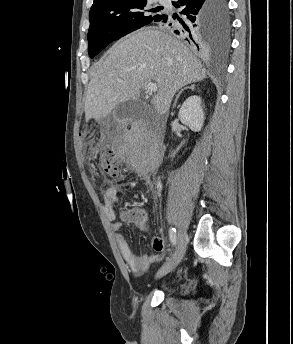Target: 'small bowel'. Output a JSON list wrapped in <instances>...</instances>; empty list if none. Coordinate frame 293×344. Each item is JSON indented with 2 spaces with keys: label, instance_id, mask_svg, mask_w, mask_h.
Here are the masks:
<instances>
[{
  "label": "small bowel",
  "instance_id": "c3829d8e",
  "mask_svg": "<svg viewBox=\"0 0 293 344\" xmlns=\"http://www.w3.org/2000/svg\"><path fill=\"white\" fill-rule=\"evenodd\" d=\"M119 185H110L104 193V214L106 219L111 223V230L115 235V240L120 250V253L128 265L129 269L135 276L143 275L151 265L157 264L161 261V255H135L124 237L119 233L122 223L117 220L114 204L116 203L119 195ZM140 225V224H139ZM145 228V222L140 225ZM153 248L157 252H163L166 247V240L162 236H156L152 240Z\"/></svg>",
  "mask_w": 293,
  "mask_h": 344
}]
</instances>
